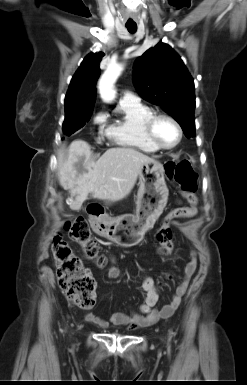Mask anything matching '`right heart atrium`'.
Returning <instances> with one entry per match:
<instances>
[{"label":"right heart atrium","mask_w":247,"mask_h":385,"mask_svg":"<svg viewBox=\"0 0 247 385\" xmlns=\"http://www.w3.org/2000/svg\"><path fill=\"white\" fill-rule=\"evenodd\" d=\"M105 121H106V114L103 112L97 113L94 117V120H93L94 124H96L98 126L104 124Z\"/></svg>","instance_id":"obj_1"}]
</instances>
